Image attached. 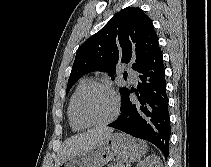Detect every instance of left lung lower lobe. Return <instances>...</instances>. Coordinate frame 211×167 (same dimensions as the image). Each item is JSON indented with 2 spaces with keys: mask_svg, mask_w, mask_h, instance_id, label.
Listing matches in <instances>:
<instances>
[{
  "mask_svg": "<svg viewBox=\"0 0 211 167\" xmlns=\"http://www.w3.org/2000/svg\"><path fill=\"white\" fill-rule=\"evenodd\" d=\"M136 72L139 79L137 89L131 88L123 93L122 114L108 126L153 143L167 158L171 126L160 47ZM132 93L136 94V99Z\"/></svg>",
  "mask_w": 211,
  "mask_h": 167,
  "instance_id": "0a47b994",
  "label": "left lung lower lobe"
}]
</instances>
